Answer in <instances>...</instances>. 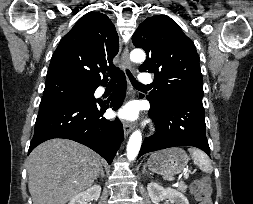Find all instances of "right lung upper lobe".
Returning a JSON list of instances; mask_svg holds the SVG:
<instances>
[{"instance_id":"1","label":"right lung upper lobe","mask_w":253,"mask_h":204,"mask_svg":"<svg viewBox=\"0 0 253 204\" xmlns=\"http://www.w3.org/2000/svg\"><path fill=\"white\" fill-rule=\"evenodd\" d=\"M116 29L108 16L100 12L84 15L61 39L48 68L46 83L69 81L98 87L108 81L100 74L115 71L118 54Z\"/></svg>"}]
</instances>
